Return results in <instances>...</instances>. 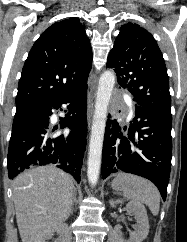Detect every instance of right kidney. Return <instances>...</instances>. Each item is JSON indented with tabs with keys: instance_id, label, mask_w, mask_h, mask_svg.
I'll return each instance as SVG.
<instances>
[{
	"instance_id": "obj_1",
	"label": "right kidney",
	"mask_w": 187,
	"mask_h": 242,
	"mask_svg": "<svg viewBox=\"0 0 187 242\" xmlns=\"http://www.w3.org/2000/svg\"><path fill=\"white\" fill-rule=\"evenodd\" d=\"M66 229V226L64 224L59 225L56 227L52 232L47 233L39 242H46V240H49L53 236L54 231H59L63 233Z\"/></svg>"
}]
</instances>
